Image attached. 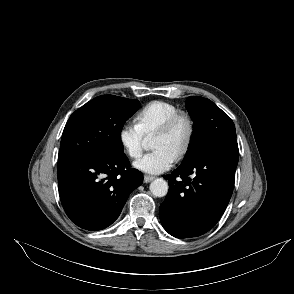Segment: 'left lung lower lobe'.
Instances as JSON below:
<instances>
[{"label":"left lung lower lobe","mask_w":294,"mask_h":294,"mask_svg":"<svg viewBox=\"0 0 294 294\" xmlns=\"http://www.w3.org/2000/svg\"><path fill=\"white\" fill-rule=\"evenodd\" d=\"M238 156L236 138H228L165 176L169 191L160 205V220L169 234L197 237L215 226L233 192Z\"/></svg>","instance_id":"1"}]
</instances>
